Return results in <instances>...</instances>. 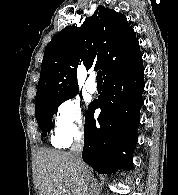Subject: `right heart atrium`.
Segmentation results:
<instances>
[{
  "instance_id": "d8ad5b80",
  "label": "right heart atrium",
  "mask_w": 178,
  "mask_h": 195,
  "mask_svg": "<svg viewBox=\"0 0 178 195\" xmlns=\"http://www.w3.org/2000/svg\"><path fill=\"white\" fill-rule=\"evenodd\" d=\"M56 146L63 147L83 136L84 119L79 100L68 98L57 108L55 116Z\"/></svg>"
}]
</instances>
